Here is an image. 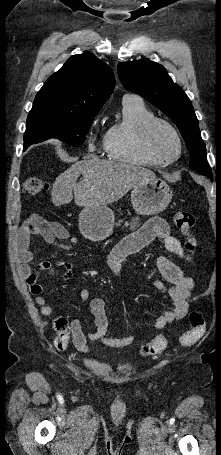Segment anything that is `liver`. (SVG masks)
Here are the masks:
<instances>
[{"mask_svg": "<svg viewBox=\"0 0 221 455\" xmlns=\"http://www.w3.org/2000/svg\"><path fill=\"white\" fill-rule=\"evenodd\" d=\"M80 174L83 180L77 183ZM152 177L153 171L140 166L94 158L76 162L61 173L53 183L51 198L55 206L70 203L73 196L77 206L112 204Z\"/></svg>", "mask_w": 221, "mask_h": 455, "instance_id": "1", "label": "liver"}]
</instances>
